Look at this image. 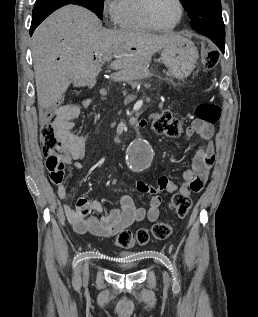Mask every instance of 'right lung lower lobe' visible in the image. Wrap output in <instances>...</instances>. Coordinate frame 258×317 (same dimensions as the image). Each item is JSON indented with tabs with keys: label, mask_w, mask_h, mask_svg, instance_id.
I'll use <instances>...</instances> for the list:
<instances>
[{
	"label": "right lung lower lobe",
	"mask_w": 258,
	"mask_h": 317,
	"mask_svg": "<svg viewBox=\"0 0 258 317\" xmlns=\"http://www.w3.org/2000/svg\"><path fill=\"white\" fill-rule=\"evenodd\" d=\"M68 4L80 5L91 10L89 0H36L33 8L30 35H32L35 28L53 11Z\"/></svg>",
	"instance_id": "obj_1"
}]
</instances>
